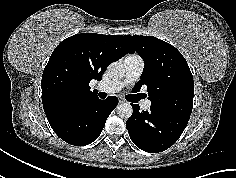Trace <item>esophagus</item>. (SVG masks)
Returning a JSON list of instances; mask_svg holds the SVG:
<instances>
[{
	"label": "esophagus",
	"instance_id": "obj_1",
	"mask_svg": "<svg viewBox=\"0 0 236 178\" xmlns=\"http://www.w3.org/2000/svg\"><path fill=\"white\" fill-rule=\"evenodd\" d=\"M122 103H124V100L119 99V104H122Z\"/></svg>",
	"mask_w": 236,
	"mask_h": 178
}]
</instances>
